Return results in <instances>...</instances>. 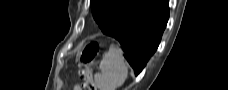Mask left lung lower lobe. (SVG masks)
<instances>
[{
    "label": "left lung lower lobe",
    "instance_id": "obj_1",
    "mask_svg": "<svg viewBox=\"0 0 228 90\" xmlns=\"http://www.w3.org/2000/svg\"><path fill=\"white\" fill-rule=\"evenodd\" d=\"M168 18V0H133L131 8L102 32L119 41L138 75L156 51Z\"/></svg>",
    "mask_w": 228,
    "mask_h": 90
}]
</instances>
